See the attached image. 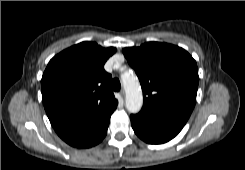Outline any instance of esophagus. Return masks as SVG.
Listing matches in <instances>:
<instances>
[{
	"label": "esophagus",
	"mask_w": 245,
	"mask_h": 170,
	"mask_svg": "<svg viewBox=\"0 0 245 170\" xmlns=\"http://www.w3.org/2000/svg\"><path fill=\"white\" fill-rule=\"evenodd\" d=\"M119 95H120L121 101H123V98H124V95H125L124 90H121L119 92Z\"/></svg>",
	"instance_id": "1"
}]
</instances>
